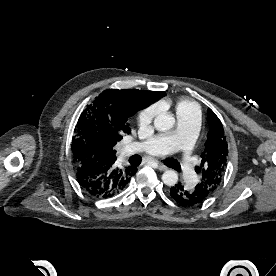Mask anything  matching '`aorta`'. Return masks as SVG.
<instances>
[{
  "instance_id": "1",
  "label": "aorta",
  "mask_w": 276,
  "mask_h": 276,
  "mask_svg": "<svg viewBox=\"0 0 276 276\" xmlns=\"http://www.w3.org/2000/svg\"><path fill=\"white\" fill-rule=\"evenodd\" d=\"M175 124L173 114L169 112L160 113L154 119V127L158 131L170 130ZM162 181L167 186H174L178 182V175L174 170H166L162 175Z\"/></svg>"
}]
</instances>
